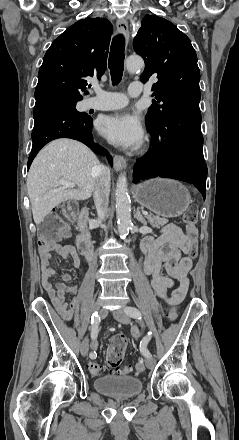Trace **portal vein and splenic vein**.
Listing matches in <instances>:
<instances>
[{
	"label": "portal vein and splenic vein",
	"instance_id": "portal-vein-and-splenic-vein-1",
	"mask_svg": "<svg viewBox=\"0 0 239 440\" xmlns=\"http://www.w3.org/2000/svg\"><path fill=\"white\" fill-rule=\"evenodd\" d=\"M60 184H62L63 188H75V184H72V182H65V180H60ZM144 216H148V210L142 211Z\"/></svg>",
	"mask_w": 239,
	"mask_h": 440
}]
</instances>
